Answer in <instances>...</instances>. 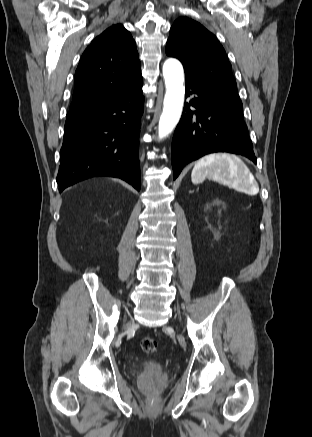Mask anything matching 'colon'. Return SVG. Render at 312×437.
<instances>
[{
  "label": "colon",
  "instance_id": "obj_1",
  "mask_svg": "<svg viewBox=\"0 0 312 437\" xmlns=\"http://www.w3.org/2000/svg\"><path fill=\"white\" fill-rule=\"evenodd\" d=\"M141 348L147 354H156L158 351V344L152 338H144L141 341Z\"/></svg>",
  "mask_w": 312,
  "mask_h": 437
}]
</instances>
